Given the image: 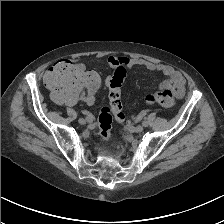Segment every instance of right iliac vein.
<instances>
[{"mask_svg":"<svg viewBox=\"0 0 224 224\" xmlns=\"http://www.w3.org/2000/svg\"><path fill=\"white\" fill-rule=\"evenodd\" d=\"M78 122H79L81 125L86 124V120H85L84 118H79Z\"/></svg>","mask_w":224,"mask_h":224,"instance_id":"obj_1","label":"right iliac vein"}]
</instances>
